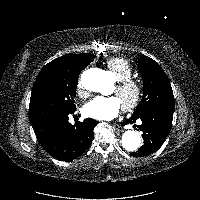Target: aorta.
Instances as JSON below:
<instances>
[{
  "label": "aorta",
  "instance_id": "1",
  "mask_svg": "<svg viewBox=\"0 0 200 200\" xmlns=\"http://www.w3.org/2000/svg\"><path fill=\"white\" fill-rule=\"evenodd\" d=\"M83 86L90 91L105 94L110 86L107 73L100 69H89L82 74ZM122 147L127 151H136L141 143V138L136 131H126L121 139Z\"/></svg>",
  "mask_w": 200,
  "mask_h": 200
}]
</instances>
